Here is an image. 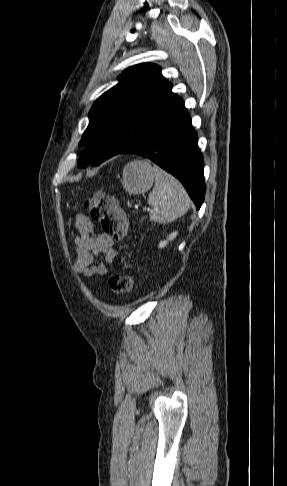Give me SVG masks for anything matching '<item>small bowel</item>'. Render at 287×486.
Returning <instances> with one entry per match:
<instances>
[{"instance_id":"c3829d8e","label":"small bowel","mask_w":287,"mask_h":486,"mask_svg":"<svg viewBox=\"0 0 287 486\" xmlns=\"http://www.w3.org/2000/svg\"><path fill=\"white\" fill-rule=\"evenodd\" d=\"M78 235L74 238L75 260L74 270L86 278H101L108 272L117 256L114 240L109 235L98 233L91 219L83 214L75 218ZM102 257L103 261H97Z\"/></svg>"}]
</instances>
